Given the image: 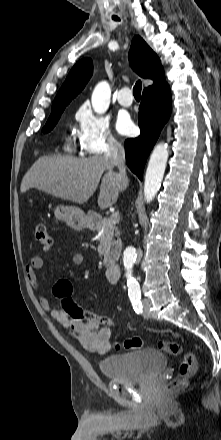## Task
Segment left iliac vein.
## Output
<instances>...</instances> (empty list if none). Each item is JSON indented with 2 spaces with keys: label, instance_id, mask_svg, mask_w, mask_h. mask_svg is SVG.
I'll use <instances>...</instances> for the list:
<instances>
[{
  "label": "left iliac vein",
  "instance_id": "1",
  "mask_svg": "<svg viewBox=\"0 0 221 440\" xmlns=\"http://www.w3.org/2000/svg\"><path fill=\"white\" fill-rule=\"evenodd\" d=\"M143 308H144V318H149L150 317V313H149V307H150V300L145 298L143 301Z\"/></svg>",
  "mask_w": 221,
  "mask_h": 440
}]
</instances>
